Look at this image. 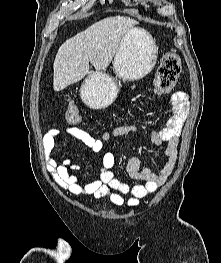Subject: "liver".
Masks as SVG:
<instances>
[{"label": "liver", "instance_id": "1", "mask_svg": "<svg viewBox=\"0 0 221 263\" xmlns=\"http://www.w3.org/2000/svg\"><path fill=\"white\" fill-rule=\"evenodd\" d=\"M137 24L125 16L106 17L67 39L54 60V90H63L89 74V62L97 71L105 70L123 36Z\"/></svg>", "mask_w": 221, "mask_h": 263}]
</instances>
